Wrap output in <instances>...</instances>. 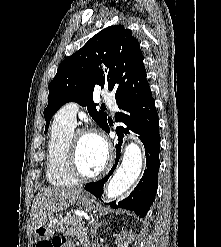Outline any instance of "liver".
<instances>
[{
	"instance_id": "6515ba94",
	"label": "liver",
	"mask_w": 221,
	"mask_h": 247,
	"mask_svg": "<svg viewBox=\"0 0 221 247\" xmlns=\"http://www.w3.org/2000/svg\"><path fill=\"white\" fill-rule=\"evenodd\" d=\"M82 189L43 188L34 198L32 205L33 230L48 217L73 205Z\"/></svg>"
}]
</instances>
